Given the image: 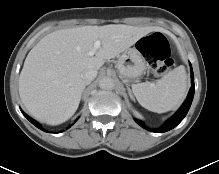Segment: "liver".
I'll use <instances>...</instances> for the list:
<instances>
[{
    "label": "liver",
    "mask_w": 219,
    "mask_h": 174,
    "mask_svg": "<svg viewBox=\"0 0 219 174\" xmlns=\"http://www.w3.org/2000/svg\"><path fill=\"white\" fill-rule=\"evenodd\" d=\"M157 30L124 24L61 29L43 37L28 53L19 77V95L27 111L50 125L67 121L76 112L85 82L83 73L99 70L140 38ZM95 56L88 52L96 41Z\"/></svg>",
    "instance_id": "1"
}]
</instances>
